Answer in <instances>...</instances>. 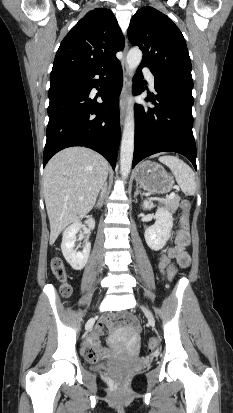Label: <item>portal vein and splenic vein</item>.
Returning a JSON list of instances; mask_svg holds the SVG:
<instances>
[{
	"label": "portal vein and splenic vein",
	"instance_id": "18ae733b",
	"mask_svg": "<svg viewBox=\"0 0 233 413\" xmlns=\"http://www.w3.org/2000/svg\"><path fill=\"white\" fill-rule=\"evenodd\" d=\"M174 196H175V193H174V192H171V193L169 194V196H168L166 199H160V198H152V199H153V200H159V201H162V200H164V201H168V200L173 199V198H174Z\"/></svg>",
	"mask_w": 233,
	"mask_h": 413
}]
</instances>
